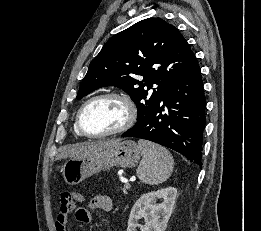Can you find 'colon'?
Here are the masks:
<instances>
[{
  "mask_svg": "<svg viewBox=\"0 0 261 231\" xmlns=\"http://www.w3.org/2000/svg\"><path fill=\"white\" fill-rule=\"evenodd\" d=\"M79 201V195L75 192L62 193L60 196L59 213L65 216H69Z\"/></svg>",
  "mask_w": 261,
  "mask_h": 231,
  "instance_id": "obj_1",
  "label": "colon"
}]
</instances>
